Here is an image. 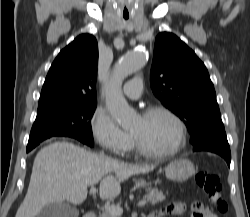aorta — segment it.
Here are the masks:
<instances>
[{"instance_id": "1", "label": "aorta", "mask_w": 250, "mask_h": 217, "mask_svg": "<svg viewBox=\"0 0 250 217\" xmlns=\"http://www.w3.org/2000/svg\"><path fill=\"white\" fill-rule=\"evenodd\" d=\"M146 57L147 53L144 50H133L123 55L115 64L113 74L105 86L106 108L123 127L132 124L135 113L122 94V83L126 77L143 67Z\"/></svg>"}]
</instances>
